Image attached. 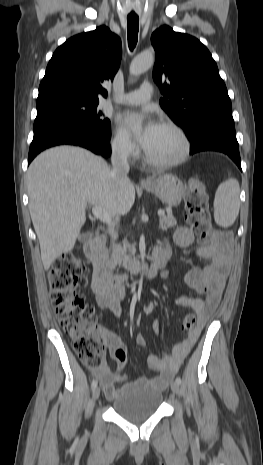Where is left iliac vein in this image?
I'll return each mask as SVG.
<instances>
[{"mask_svg":"<svg viewBox=\"0 0 263 465\" xmlns=\"http://www.w3.org/2000/svg\"><path fill=\"white\" fill-rule=\"evenodd\" d=\"M171 389H172L174 394H179V392H180V386L176 381L171 383Z\"/></svg>","mask_w":263,"mask_h":465,"instance_id":"obj_1","label":"left iliac vein"}]
</instances>
